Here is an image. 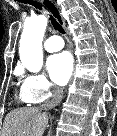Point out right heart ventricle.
Returning a JSON list of instances; mask_svg holds the SVG:
<instances>
[{"label": "right heart ventricle", "instance_id": "right-heart-ventricle-1", "mask_svg": "<svg viewBox=\"0 0 117 136\" xmlns=\"http://www.w3.org/2000/svg\"><path fill=\"white\" fill-rule=\"evenodd\" d=\"M19 101H20L21 103H24V104L29 103V102L27 101V99H26V97H25V95H24V93H23L22 90H21L20 93H19Z\"/></svg>", "mask_w": 117, "mask_h": 136}]
</instances>
